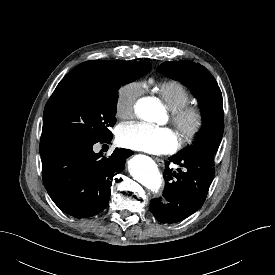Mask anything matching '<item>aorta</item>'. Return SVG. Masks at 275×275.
<instances>
[{
	"label": "aorta",
	"instance_id": "obj_1",
	"mask_svg": "<svg viewBox=\"0 0 275 275\" xmlns=\"http://www.w3.org/2000/svg\"><path fill=\"white\" fill-rule=\"evenodd\" d=\"M138 115L147 121H156L162 115L160 103L154 98H143L136 105ZM130 173L139 183L153 192L160 189L162 184L161 174L157 164L150 158L143 156L134 157L129 165Z\"/></svg>",
	"mask_w": 275,
	"mask_h": 275
}]
</instances>
